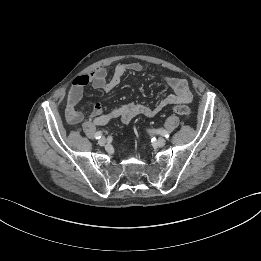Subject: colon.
<instances>
[{"instance_id": "5ec220e1", "label": "colon", "mask_w": 261, "mask_h": 261, "mask_svg": "<svg viewBox=\"0 0 261 261\" xmlns=\"http://www.w3.org/2000/svg\"><path fill=\"white\" fill-rule=\"evenodd\" d=\"M173 111L181 116L188 117L191 115V108L184 104H178L173 107Z\"/></svg>"}]
</instances>
